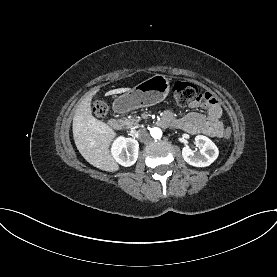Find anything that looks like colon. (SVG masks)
Returning a JSON list of instances; mask_svg holds the SVG:
<instances>
[{
  "instance_id": "5ec220e1",
  "label": "colon",
  "mask_w": 277,
  "mask_h": 277,
  "mask_svg": "<svg viewBox=\"0 0 277 277\" xmlns=\"http://www.w3.org/2000/svg\"><path fill=\"white\" fill-rule=\"evenodd\" d=\"M171 92L174 100L180 105H186L201 98L197 87L194 84L186 81L173 82L171 86ZM93 112L96 117L103 118L107 115L108 107L103 101L97 100L93 104ZM232 135V129L225 128L223 130V138L225 140H230Z\"/></svg>"
}]
</instances>
